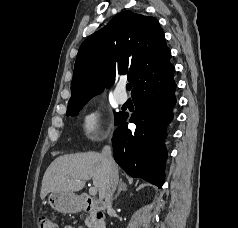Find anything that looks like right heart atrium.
Instances as JSON below:
<instances>
[{
  "label": "right heart atrium",
  "mask_w": 238,
  "mask_h": 228,
  "mask_svg": "<svg viewBox=\"0 0 238 228\" xmlns=\"http://www.w3.org/2000/svg\"><path fill=\"white\" fill-rule=\"evenodd\" d=\"M80 131L87 143H95L107 138L108 132L103 116L97 107H92L83 113L80 120Z\"/></svg>",
  "instance_id": "1"
}]
</instances>
